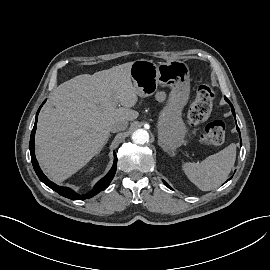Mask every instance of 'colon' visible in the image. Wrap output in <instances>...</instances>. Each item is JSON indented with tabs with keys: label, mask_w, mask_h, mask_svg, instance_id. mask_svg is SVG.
<instances>
[{
	"label": "colon",
	"mask_w": 270,
	"mask_h": 270,
	"mask_svg": "<svg viewBox=\"0 0 270 270\" xmlns=\"http://www.w3.org/2000/svg\"><path fill=\"white\" fill-rule=\"evenodd\" d=\"M214 90L206 84L200 85L196 96L188 110V120L191 125L197 126L205 121L211 113ZM225 138V125L221 120L209 121L204 128L201 136L203 143L211 146L220 145Z\"/></svg>",
	"instance_id": "1"
}]
</instances>
